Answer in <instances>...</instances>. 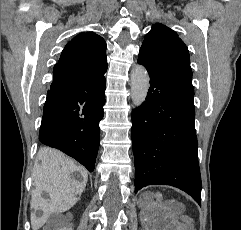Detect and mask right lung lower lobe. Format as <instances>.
I'll return each mask as SVG.
<instances>
[{
    "instance_id": "98d812e1",
    "label": "right lung lower lobe",
    "mask_w": 241,
    "mask_h": 230,
    "mask_svg": "<svg viewBox=\"0 0 241 230\" xmlns=\"http://www.w3.org/2000/svg\"><path fill=\"white\" fill-rule=\"evenodd\" d=\"M53 75L39 140L73 157L92 172L99 148V122L104 115V74L74 72L57 65Z\"/></svg>"
}]
</instances>
